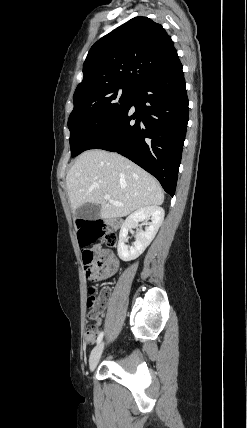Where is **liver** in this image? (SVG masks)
I'll use <instances>...</instances> for the list:
<instances>
[{
    "mask_svg": "<svg viewBox=\"0 0 247 428\" xmlns=\"http://www.w3.org/2000/svg\"><path fill=\"white\" fill-rule=\"evenodd\" d=\"M66 186L75 216L87 203L99 204L100 217L112 219L164 202L162 188L153 176L119 154L98 149L77 158L67 173ZM105 194L123 206L105 200Z\"/></svg>",
    "mask_w": 247,
    "mask_h": 428,
    "instance_id": "1",
    "label": "liver"
}]
</instances>
